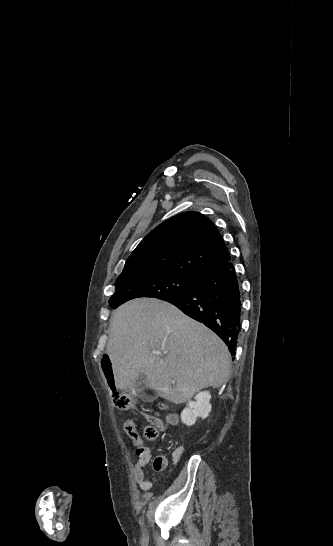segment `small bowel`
Returning <instances> with one entry per match:
<instances>
[{
  "mask_svg": "<svg viewBox=\"0 0 333 546\" xmlns=\"http://www.w3.org/2000/svg\"><path fill=\"white\" fill-rule=\"evenodd\" d=\"M152 423H154L162 432H166L167 427L160 418L150 417ZM173 419H171L172 421ZM132 443L136 449L137 461L134 464V474L140 489L147 491L151 487V482L148 479L145 469L152 462V456L150 448L147 447L144 441L141 439L137 431L134 435H129ZM184 453V447L179 446L175 449L172 455L173 462L176 463L180 460ZM168 465V460L165 455H158L152 463V467L155 471H162Z\"/></svg>",
  "mask_w": 333,
  "mask_h": 546,
  "instance_id": "c3829d8e",
  "label": "small bowel"
}]
</instances>
